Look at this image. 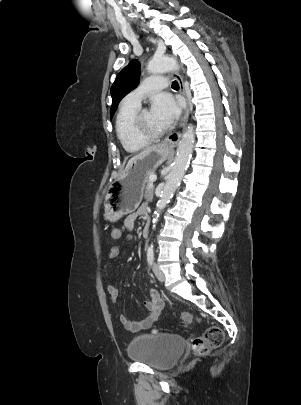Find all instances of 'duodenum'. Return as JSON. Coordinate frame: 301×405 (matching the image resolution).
I'll use <instances>...</instances> for the list:
<instances>
[{
  "label": "duodenum",
  "mask_w": 301,
  "mask_h": 405,
  "mask_svg": "<svg viewBox=\"0 0 301 405\" xmlns=\"http://www.w3.org/2000/svg\"><path fill=\"white\" fill-rule=\"evenodd\" d=\"M150 228H151L150 222H146V224H145V226L143 228V231H142L143 237H147L149 235Z\"/></svg>",
  "instance_id": "1"
}]
</instances>
